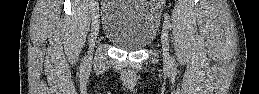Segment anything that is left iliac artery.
<instances>
[{
	"label": "left iliac artery",
	"mask_w": 259,
	"mask_h": 94,
	"mask_svg": "<svg viewBox=\"0 0 259 94\" xmlns=\"http://www.w3.org/2000/svg\"><path fill=\"white\" fill-rule=\"evenodd\" d=\"M164 19H165V22H166V27L168 28V29H170L171 28V23H170V16H169V14L168 13H165L164 14ZM171 66H172V68H176V63H175V59L172 57L171 58Z\"/></svg>",
	"instance_id": "1"
}]
</instances>
